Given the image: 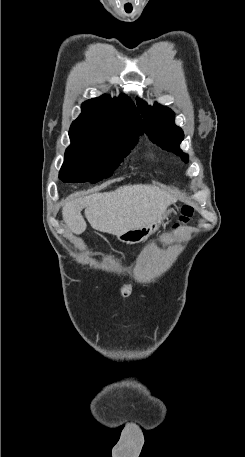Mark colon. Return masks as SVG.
<instances>
[{
	"label": "colon",
	"mask_w": 245,
	"mask_h": 457,
	"mask_svg": "<svg viewBox=\"0 0 245 457\" xmlns=\"http://www.w3.org/2000/svg\"><path fill=\"white\" fill-rule=\"evenodd\" d=\"M194 215V208L191 205H185L182 208L179 222L174 226L177 229L180 225L188 223Z\"/></svg>",
	"instance_id": "1"
}]
</instances>
